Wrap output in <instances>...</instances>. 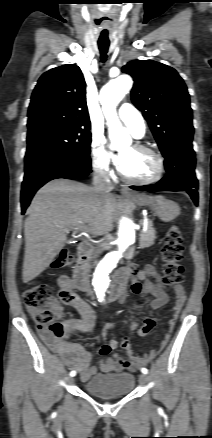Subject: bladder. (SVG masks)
<instances>
[{
  "mask_svg": "<svg viewBox=\"0 0 212 438\" xmlns=\"http://www.w3.org/2000/svg\"><path fill=\"white\" fill-rule=\"evenodd\" d=\"M135 386V376L128 372L97 374L84 383V390L101 398L126 396Z\"/></svg>",
  "mask_w": 212,
  "mask_h": 438,
  "instance_id": "bladder-1",
  "label": "bladder"
}]
</instances>
